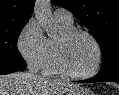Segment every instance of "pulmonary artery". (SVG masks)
<instances>
[{"label":"pulmonary artery","mask_w":119,"mask_h":95,"mask_svg":"<svg viewBox=\"0 0 119 95\" xmlns=\"http://www.w3.org/2000/svg\"><path fill=\"white\" fill-rule=\"evenodd\" d=\"M54 18L58 22H62L65 24H72L73 23V17L72 14L63 8H58L54 11Z\"/></svg>","instance_id":"obj_1"}]
</instances>
